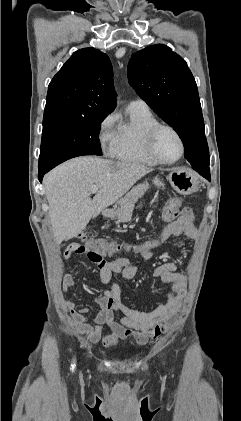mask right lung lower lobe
Segmentation results:
<instances>
[{
	"mask_svg": "<svg viewBox=\"0 0 241 421\" xmlns=\"http://www.w3.org/2000/svg\"><path fill=\"white\" fill-rule=\"evenodd\" d=\"M51 167L39 168V181L42 182V178L46 172H48Z\"/></svg>",
	"mask_w": 241,
	"mask_h": 421,
	"instance_id": "1",
	"label": "right lung lower lobe"
}]
</instances>
